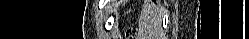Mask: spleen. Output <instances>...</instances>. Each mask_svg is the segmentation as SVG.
I'll list each match as a JSON object with an SVG mask.
<instances>
[{
	"label": "spleen",
	"instance_id": "obj_1",
	"mask_svg": "<svg viewBox=\"0 0 249 39\" xmlns=\"http://www.w3.org/2000/svg\"><path fill=\"white\" fill-rule=\"evenodd\" d=\"M163 12L149 1L144 2L139 19L138 35L142 39H160L162 30Z\"/></svg>",
	"mask_w": 249,
	"mask_h": 39
}]
</instances>
